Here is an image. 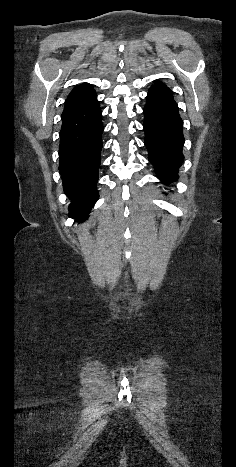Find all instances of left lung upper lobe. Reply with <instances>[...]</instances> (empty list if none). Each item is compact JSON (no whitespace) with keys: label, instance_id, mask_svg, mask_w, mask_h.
Returning a JSON list of instances; mask_svg holds the SVG:
<instances>
[{"label":"left lung upper lobe","instance_id":"obj_1","mask_svg":"<svg viewBox=\"0 0 236 467\" xmlns=\"http://www.w3.org/2000/svg\"><path fill=\"white\" fill-rule=\"evenodd\" d=\"M154 87H166L164 84L162 83H156L155 85H153Z\"/></svg>","mask_w":236,"mask_h":467}]
</instances>
